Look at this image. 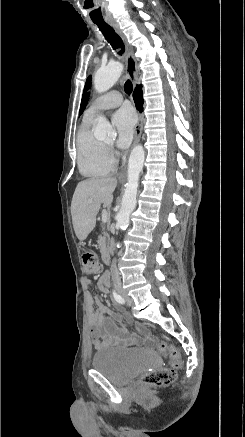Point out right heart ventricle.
<instances>
[{
    "label": "right heart ventricle",
    "instance_id": "obj_1",
    "mask_svg": "<svg viewBox=\"0 0 245 437\" xmlns=\"http://www.w3.org/2000/svg\"><path fill=\"white\" fill-rule=\"evenodd\" d=\"M93 118L84 116L76 138L77 165L80 173L88 178L109 175L115 162L108 155L107 147L95 138L92 131Z\"/></svg>",
    "mask_w": 245,
    "mask_h": 437
}]
</instances>
